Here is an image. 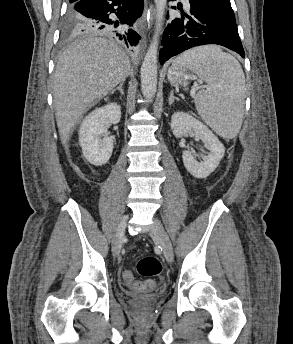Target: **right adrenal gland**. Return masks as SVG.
Listing matches in <instances>:
<instances>
[{"label": "right adrenal gland", "instance_id": "1", "mask_svg": "<svg viewBox=\"0 0 293 344\" xmlns=\"http://www.w3.org/2000/svg\"><path fill=\"white\" fill-rule=\"evenodd\" d=\"M123 84H124V82H121L120 83V85L116 88V89H113L112 91H111V94H114L115 93V91H120V93L123 95L124 94V91H123Z\"/></svg>", "mask_w": 293, "mask_h": 344}]
</instances>
